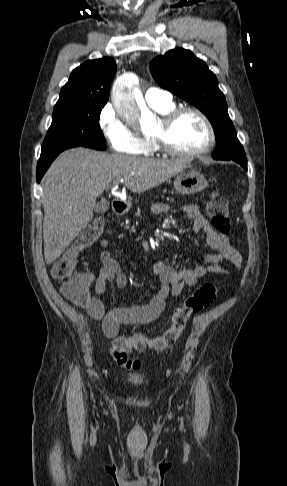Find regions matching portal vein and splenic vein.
Instances as JSON below:
<instances>
[{"label":"portal vein and splenic vein","instance_id":"1","mask_svg":"<svg viewBox=\"0 0 287 486\" xmlns=\"http://www.w3.org/2000/svg\"><path fill=\"white\" fill-rule=\"evenodd\" d=\"M123 181H124L123 179H120L119 181H115L114 185L117 186L120 182H123Z\"/></svg>","mask_w":287,"mask_h":486}]
</instances>
